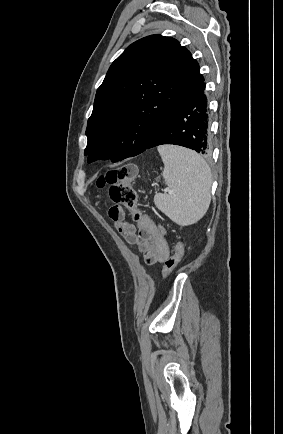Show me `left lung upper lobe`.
Returning <instances> with one entry per match:
<instances>
[{"label": "left lung upper lobe", "mask_w": 283, "mask_h": 434, "mask_svg": "<svg viewBox=\"0 0 283 434\" xmlns=\"http://www.w3.org/2000/svg\"><path fill=\"white\" fill-rule=\"evenodd\" d=\"M189 50L171 37L150 35L112 63L88 119V163L142 153L175 105L204 81Z\"/></svg>", "instance_id": "1"}]
</instances>
